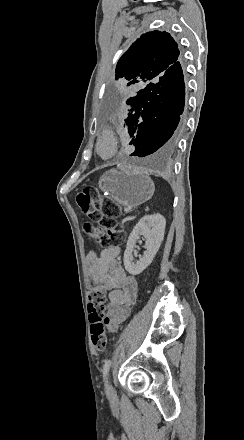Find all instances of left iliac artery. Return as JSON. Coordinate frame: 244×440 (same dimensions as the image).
<instances>
[{"instance_id": "left-iliac-artery-1", "label": "left iliac artery", "mask_w": 244, "mask_h": 440, "mask_svg": "<svg viewBox=\"0 0 244 440\" xmlns=\"http://www.w3.org/2000/svg\"><path fill=\"white\" fill-rule=\"evenodd\" d=\"M110 366H111V360L108 359V360H106V362L103 366V377H104L105 385H106V376H107V373L109 371Z\"/></svg>"}]
</instances>
